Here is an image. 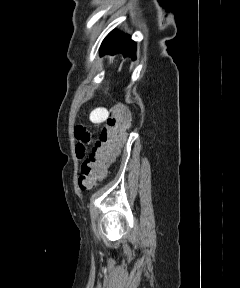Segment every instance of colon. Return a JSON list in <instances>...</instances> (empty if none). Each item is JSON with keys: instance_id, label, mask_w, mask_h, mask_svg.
Here are the masks:
<instances>
[{"instance_id": "obj_1", "label": "colon", "mask_w": 240, "mask_h": 288, "mask_svg": "<svg viewBox=\"0 0 240 288\" xmlns=\"http://www.w3.org/2000/svg\"><path fill=\"white\" fill-rule=\"evenodd\" d=\"M131 115L122 104L114 105L108 116V126L103 129L100 139L91 154L81 166L79 186L82 190H91L104 177L107 165L114 159L125 140Z\"/></svg>"}]
</instances>
